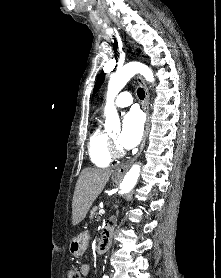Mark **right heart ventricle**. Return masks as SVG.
Listing matches in <instances>:
<instances>
[{
    "label": "right heart ventricle",
    "instance_id": "e07e8e85",
    "mask_svg": "<svg viewBox=\"0 0 221 278\" xmlns=\"http://www.w3.org/2000/svg\"><path fill=\"white\" fill-rule=\"evenodd\" d=\"M109 135L97 126L92 131L88 140V151L92 163L98 167H107L112 161L108 149Z\"/></svg>",
    "mask_w": 221,
    "mask_h": 278
}]
</instances>
